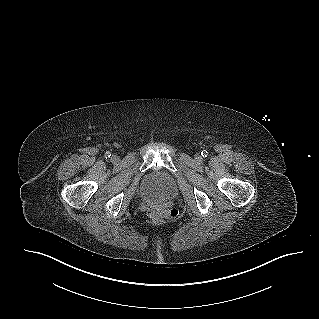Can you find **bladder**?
I'll use <instances>...</instances> for the list:
<instances>
[{
    "instance_id": "bladder-1",
    "label": "bladder",
    "mask_w": 319,
    "mask_h": 319,
    "mask_svg": "<svg viewBox=\"0 0 319 319\" xmlns=\"http://www.w3.org/2000/svg\"><path fill=\"white\" fill-rule=\"evenodd\" d=\"M175 191L174 178L162 170L150 173L140 188L141 197L148 202L168 199L173 196Z\"/></svg>"
}]
</instances>
